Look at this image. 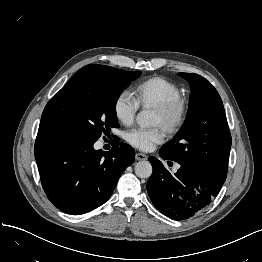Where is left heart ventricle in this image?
Masks as SVG:
<instances>
[{
    "label": "left heart ventricle",
    "mask_w": 262,
    "mask_h": 262,
    "mask_svg": "<svg viewBox=\"0 0 262 262\" xmlns=\"http://www.w3.org/2000/svg\"><path fill=\"white\" fill-rule=\"evenodd\" d=\"M154 123L155 124H159V123L162 124V118L157 111H155Z\"/></svg>",
    "instance_id": "obj_1"
}]
</instances>
